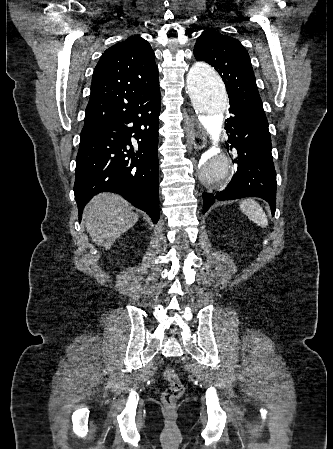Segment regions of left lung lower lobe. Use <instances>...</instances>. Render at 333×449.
<instances>
[{"label": "left lung lower lobe", "mask_w": 333, "mask_h": 449, "mask_svg": "<svg viewBox=\"0 0 333 449\" xmlns=\"http://www.w3.org/2000/svg\"><path fill=\"white\" fill-rule=\"evenodd\" d=\"M231 116L225 123L228 141L234 148L235 174L222 191L203 193V214L215 200L260 197L272 214L276 208V172L271 154V138L265 114L230 99Z\"/></svg>", "instance_id": "1"}]
</instances>
